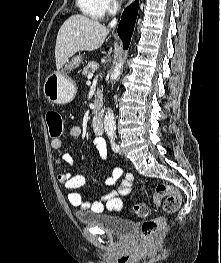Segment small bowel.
Listing matches in <instances>:
<instances>
[{
	"label": "small bowel",
	"instance_id": "c3829d8e",
	"mask_svg": "<svg viewBox=\"0 0 221 263\" xmlns=\"http://www.w3.org/2000/svg\"><path fill=\"white\" fill-rule=\"evenodd\" d=\"M80 135L81 129L79 126L70 127L68 132V136L70 138H78ZM93 146L98 157L102 161H105L107 159L108 152L104 139L102 137H95L93 139ZM61 147V139H54L51 141L52 149L59 150ZM61 160L63 164H67L69 166L75 165L74 159L68 153H63L61 155ZM122 174L123 171L121 168H114L111 172V175L104 180V185L106 187L113 188ZM57 180L64 186L66 190L69 191L68 201L73 207L78 208L81 212L91 211L93 213H101L104 209L109 211H119L122 209L123 202L120 196H126L130 194L133 186L134 176L131 173L126 174L117 190H113L93 202L85 201L80 193L74 191L85 184L84 176L65 172L60 173L57 176Z\"/></svg>",
	"mask_w": 221,
	"mask_h": 263
}]
</instances>
